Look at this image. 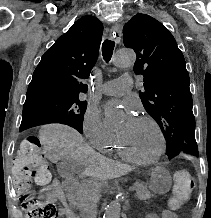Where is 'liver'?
<instances>
[{"mask_svg": "<svg viewBox=\"0 0 211 218\" xmlns=\"http://www.w3.org/2000/svg\"><path fill=\"white\" fill-rule=\"evenodd\" d=\"M40 140L47 144L53 158H72L77 160V166H84L85 174L93 176L96 180H113L125 176L129 166L118 164L114 160H108L100 154L90 150L79 132L62 126L51 124L40 130Z\"/></svg>", "mask_w": 211, "mask_h": 218, "instance_id": "liver-1", "label": "liver"}]
</instances>
